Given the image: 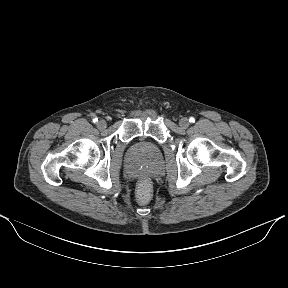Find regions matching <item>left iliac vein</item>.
<instances>
[{
    "instance_id": "1",
    "label": "left iliac vein",
    "mask_w": 288,
    "mask_h": 288,
    "mask_svg": "<svg viewBox=\"0 0 288 288\" xmlns=\"http://www.w3.org/2000/svg\"><path fill=\"white\" fill-rule=\"evenodd\" d=\"M180 127L186 129L189 126V120L187 118H181L179 121Z\"/></svg>"
}]
</instances>
